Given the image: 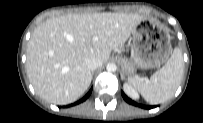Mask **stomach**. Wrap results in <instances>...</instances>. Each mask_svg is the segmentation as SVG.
I'll return each instance as SVG.
<instances>
[{"label":"stomach","instance_id":"0dacf381","mask_svg":"<svg viewBox=\"0 0 203 123\" xmlns=\"http://www.w3.org/2000/svg\"><path fill=\"white\" fill-rule=\"evenodd\" d=\"M133 60L120 58L123 71L132 75L136 69H151L166 63L172 53L171 37L152 22H139L132 31Z\"/></svg>","mask_w":203,"mask_h":123}]
</instances>
